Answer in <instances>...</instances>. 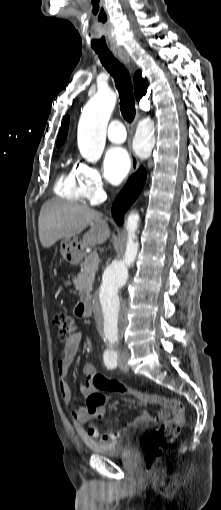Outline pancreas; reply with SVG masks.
I'll use <instances>...</instances> for the list:
<instances>
[{"mask_svg":"<svg viewBox=\"0 0 221 510\" xmlns=\"http://www.w3.org/2000/svg\"><path fill=\"white\" fill-rule=\"evenodd\" d=\"M81 271L74 279L75 287L79 291L82 298H85L92 287L95 280V273L98 267V261L90 259L89 255L80 265Z\"/></svg>","mask_w":221,"mask_h":510,"instance_id":"cf45deb5","label":"pancreas"}]
</instances>
